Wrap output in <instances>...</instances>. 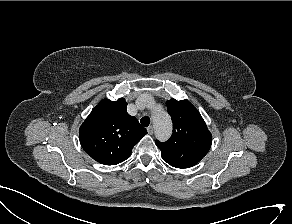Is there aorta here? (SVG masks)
<instances>
[{"label":"aorta","instance_id":"obj_1","mask_svg":"<svg viewBox=\"0 0 292 224\" xmlns=\"http://www.w3.org/2000/svg\"><path fill=\"white\" fill-rule=\"evenodd\" d=\"M152 121L155 128V135L160 141H166L172 133V122L168 113L162 108H154Z\"/></svg>","mask_w":292,"mask_h":224}]
</instances>
